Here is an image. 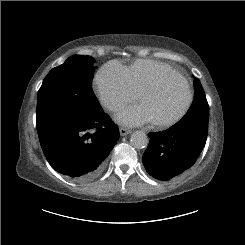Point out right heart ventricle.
I'll list each match as a JSON object with an SVG mask.
<instances>
[{
  "label": "right heart ventricle",
  "mask_w": 245,
  "mask_h": 245,
  "mask_svg": "<svg viewBox=\"0 0 245 245\" xmlns=\"http://www.w3.org/2000/svg\"><path fill=\"white\" fill-rule=\"evenodd\" d=\"M131 84L139 94L163 72L174 69L169 64L149 59H139L126 67Z\"/></svg>",
  "instance_id": "1"
}]
</instances>
